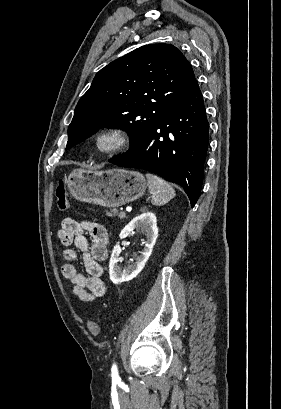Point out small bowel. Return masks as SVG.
<instances>
[{"label": "small bowel", "mask_w": 281, "mask_h": 409, "mask_svg": "<svg viewBox=\"0 0 281 409\" xmlns=\"http://www.w3.org/2000/svg\"><path fill=\"white\" fill-rule=\"evenodd\" d=\"M58 237L63 245L73 246L63 250L66 262L61 267L63 276L73 285V293L84 302L105 296L108 287L102 277V262L109 253L106 229L95 222L66 217L61 222ZM77 251L82 253L85 273L78 272L72 264Z\"/></svg>", "instance_id": "obj_1"}]
</instances>
